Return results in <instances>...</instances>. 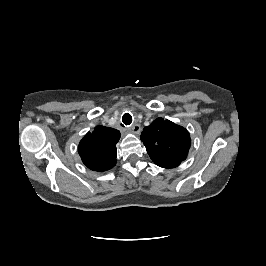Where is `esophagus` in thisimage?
Instances as JSON below:
<instances>
[{"mask_svg": "<svg viewBox=\"0 0 266 266\" xmlns=\"http://www.w3.org/2000/svg\"><path fill=\"white\" fill-rule=\"evenodd\" d=\"M130 131L135 134H139L141 132V127L139 124H135L130 128Z\"/></svg>", "mask_w": 266, "mask_h": 266, "instance_id": "obj_1", "label": "esophagus"}]
</instances>
